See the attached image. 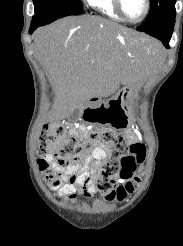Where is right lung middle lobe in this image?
Listing matches in <instances>:
<instances>
[{"label":"right lung middle lobe","mask_w":183,"mask_h":246,"mask_svg":"<svg viewBox=\"0 0 183 246\" xmlns=\"http://www.w3.org/2000/svg\"><path fill=\"white\" fill-rule=\"evenodd\" d=\"M35 16L32 22L48 24L58 18L83 12L81 0H33Z\"/></svg>","instance_id":"dd1d6c3e"}]
</instances>
